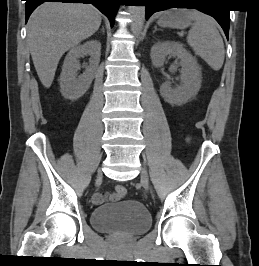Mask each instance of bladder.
I'll use <instances>...</instances> for the list:
<instances>
[{
	"label": "bladder",
	"instance_id": "31cf9c89",
	"mask_svg": "<svg viewBox=\"0 0 259 266\" xmlns=\"http://www.w3.org/2000/svg\"><path fill=\"white\" fill-rule=\"evenodd\" d=\"M151 215L137 200H124L96 207L91 213L92 226L106 233L139 235L151 226Z\"/></svg>",
	"mask_w": 259,
	"mask_h": 266
}]
</instances>
